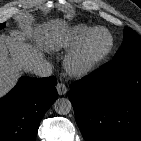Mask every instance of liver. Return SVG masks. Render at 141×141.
<instances>
[{
  "instance_id": "liver-1",
  "label": "liver",
  "mask_w": 141,
  "mask_h": 141,
  "mask_svg": "<svg viewBox=\"0 0 141 141\" xmlns=\"http://www.w3.org/2000/svg\"><path fill=\"white\" fill-rule=\"evenodd\" d=\"M28 38L36 39L38 46L30 45ZM67 41L68 24L62 19L38 24L23 18L20 30L0 36V97L12 89L22 71L32 72L34 66L43 61L40 48L59 50Z\"/></svg>"
}]
</instances>
